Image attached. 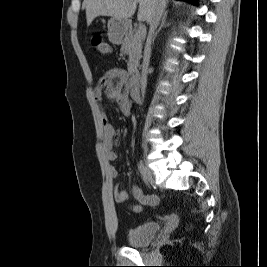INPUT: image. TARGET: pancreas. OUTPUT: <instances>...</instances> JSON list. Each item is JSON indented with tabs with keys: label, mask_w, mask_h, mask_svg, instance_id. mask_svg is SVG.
Instances as JSON below:
<instances>
[{
	"label": "pancreas",
	"mask_w": 267,
	"mask_h": 267,
	"mask_svg": "<svg viewBox=\"0 0 267 267\" xmlns=\"http://www.w3.org/2000/svg\"><path fill=\"white\" fill-rule=\"evenodd\" d=\"M121 53L129 55L127 63L129 74L137 72L142 51V39L136 33L130 31L124 38L120 49Z\"/></svg>",
	"instance_id": "cf45deb5"
}]
</instances>
